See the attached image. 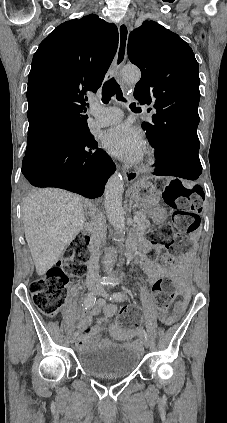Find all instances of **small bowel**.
Here are the masks:
<instances>
[{
	"instance_id": "1",
	"label": "small bowel",
	"mask_w": 227,
	"mask_h": 423,
	"mask_svg": "<svg viewBox=\"0 0 227 423\" xmlns=\"http://www.w3.org/2000/svg\"><path fill=\"white\" fill-rule=\"evenodd\" d=\"M140 265L147 275L148 282L152 285H154L159 279L166 275V271L161 266L157 265L154 260L148 256L143 255L140 257ZM180 292L183 298L175 303L172 313H169L168 310H159L158 318L162 323L166 325L175 323L185 311L189 300V293L187 290V283L185 278L180 279ZM115 313V305L106 304L101 300L89 308L88 313L83 315L79 322L81 335L77 342V346L83 349L96 343L99 340L102 327L107 324L108 320L113 317ZM101 314L102 316H100ZM95 318H97V322L95 325H93L92 322ZM145 318L148 321L153 322L156 319L155 311L152 308L148 309L145 314ZM109 329L112 336L117 340H127L135 337H141L143 334L142 329L140 328L126 331L117 326L111 325ZM104 342H109V340H105Z\"/></svg>"
}]
</instances>
